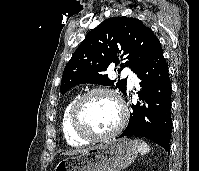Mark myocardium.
Listing matches in <instances>:
<instances>
[{
	"instance_id": "f54148a6",
	"label": "myocardium",
	"mask_w": 199,
	"mask_h": 171,
	"mask_svg": "<svg viewBox=\"0 0 199 171\" xmlns=\"http://www.w3.org/2000/svg\"><path fill=\"white\" fill-rule=\"evenodd\" d=\"M97 94H106L112 97L119 106L120 110V120L118 125L111 131L104 134L92 133L88 127L85 125L83 119V108L84 104L90 97ZM129 117V112L124 99L114 90L107 87H96L89 89L79 95L71 108L70 120L73 132L88 141H103L117 136L127 124Z\"/></svg>"
}]
</instances>
